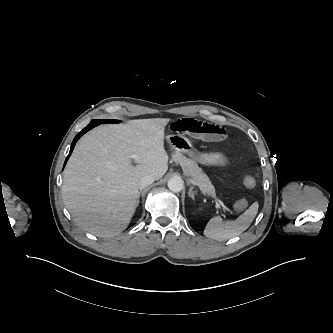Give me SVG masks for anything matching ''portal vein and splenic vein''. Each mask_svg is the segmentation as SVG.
Instances as JSON below:
<instances>
[{
    "mask_svg": "<svg viewBox=\"0 0 333 333\" xmlns=\"http://www.w3.org/2000/svg\"><path fill=\"white\" fill-rule=\"evenodd\" d=\"M134 157H135V156H134ZM212 197L215 199L216 203H218V204L222 207V209L224 210V212H225L227 215H230V214H231V210H230L228 207H226V206L224 205V203H223L220 199H217V198H216V195H213Z\"/></svg>",
    "mask_w": 333,
    "mask_h": 333,
    "instance_id": "portal-vein-and-splenic-vein-1",
    "label": "portal vein and splenic vein"
}]
</instances>
